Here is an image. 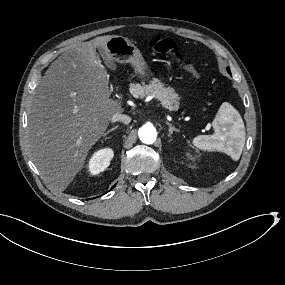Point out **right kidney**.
<instances>
[{
    "label": "right kidney",
    "instance_id": "right-kidney-1",
    "mask_svg": "<svg viewBox=\"0 0 285 285\" xmlns=\"http://www.w3.org/2000/svg\"><path fill=\"white\" fill-rule=\"evenodd\" d=\"M114 157V151L111 148H103L93 153L88 163L89 172L93 175L103 172Z\"/></svg>",
    "mask_w": 285,
    "mask_h": 285
}]
</instances>
